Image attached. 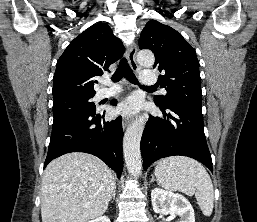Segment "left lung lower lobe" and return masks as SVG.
<instances>
[{
	"label": "left lung lower lobe",
	"mask_w": 257,
	"mask_h": 222,
	"mask_svg": "<svg viewBox=\"0 0 257 222\" xmlns=\"http://www.w3.org/2000/svg\"><path fill=\"white\" fill-rule=\"evenodd\" d=\"M157 105L164 118L150 117L145 126L140 144L144 170L160 158L182 155L198 160L213 171L202 109L181 103H170L167 107Z\"/></svg>",
	"instance_id": "left-lung-lower-lobe-1"
}]
</instances>
